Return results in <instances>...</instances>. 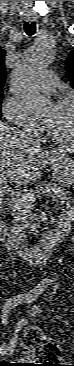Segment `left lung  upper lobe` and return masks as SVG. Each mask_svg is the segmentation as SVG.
<instances>
[{"label": "left lung upper lobe", "instance_id": "1", "mask_svg": "<svg viewBox=\"0 0 74 366\" xmlns=\"http://www.w3.org/2000/svg\"><path fill=\"white\" fill-rule=\"evenodd\" d=\"M67 76L74 87V50H72L67 58Z\"/></svg>", "mask_w": 74, "mask_h": 366}]
</instances>
